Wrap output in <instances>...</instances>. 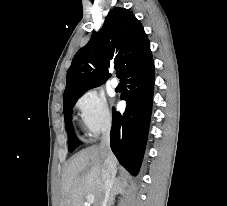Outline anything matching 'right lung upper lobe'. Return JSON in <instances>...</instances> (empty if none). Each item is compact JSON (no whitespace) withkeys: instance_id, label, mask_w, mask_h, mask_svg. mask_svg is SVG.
Listing matches in <instances>:
<instances>
[{"instance_id":"1","label":"right lung upper lobe","mask_w":227,"mask_h":206,"mask_svg":"<svg viewBox=\"0 0 227 206\" xmlns=\"http://www.w3.org/2000/svg\"><path fill=\"white\" fill-rule=\"evenodd\" d=\"M152 57L150 42L135 15L125 8L112 9L101 30L74 56L67 72L63 99L103 84L108 68L120 65L121 78L130 68Z\"/></svg>"}]
</instances>
